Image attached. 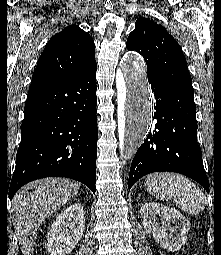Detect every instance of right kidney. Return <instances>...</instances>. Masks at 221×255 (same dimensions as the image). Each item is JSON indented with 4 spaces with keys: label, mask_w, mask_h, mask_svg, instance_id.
Listing matches in <instances>:
<instances>
[{
    "label": "right kidney",
    "mask_w": 221,
    "mask_h": 255,
    "mask_svg": "<svg viewBox=\"0 0 221 255\" xmlns=\"http://www.w3.org/2000/svg\"><path fill=\"white\" fill-rule=\"evenodd\" d=\"M85 228L83 206L77 202L61 212L47 233L46 248L50 255H66L80 241Z\"/></svg>",
    "instance_id": "obj_1"
}]
</instances>
